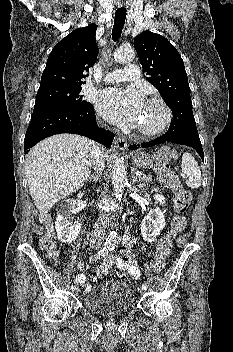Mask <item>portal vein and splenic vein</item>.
<instances>
[{
    "instance_id": "obj_1",
    "label": "portal vein and splenic vein",
    "mask_w": 233,
    "mask_h": 352,
    "mask_svg": "<svg viewBox=\"0 0 233 352\" xmlns=\"http://www.w3.org/2000/svg\"><path fill=\"white\" fill-rule=\"evenodd\" d=\"M136 175H137L138 177H141V176H142V173H141V172H137Z\"/></svg>"
}]
</instances>
